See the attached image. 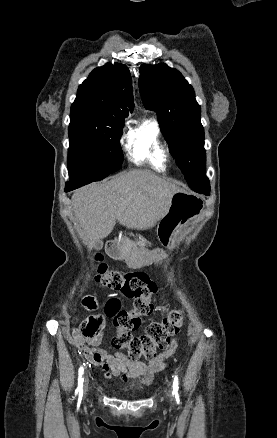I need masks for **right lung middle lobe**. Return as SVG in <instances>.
<instances>
[{"instance_id":"1","label":"right lung middle lobe","mask_w":277,"mask_h":438,"mask_svg":"<svg viewBox=\"0 0 277 438\" xmlns=\"http://www.w3.org/2000/svg\"><path fill=\"white\" fill-rule=\"evenodd\" d=\"M124 122L70 121L67 186L81 187L117 171L123 162L119 144Z\"/></svg>"}]
</instances>
